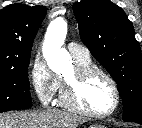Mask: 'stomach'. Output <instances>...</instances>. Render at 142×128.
<instances>
[{
  "label": "stomach",
  "mask_w": 142,
  "mask_h": 128,
  "mask_svg": "<svg viewBox=\"0 0 142 128\" xmlns=\"http://www.w3.org/2000/svg\"><path fill=\"white\" fill-rule=\"evenodd\" d=\"M89 128H105L103 125L94 124L91 125Z\"/></svg>",
  "instance_id": "0dacf381"
}]
</instances>
